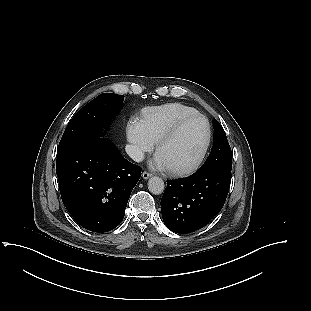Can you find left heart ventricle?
Wrapping results in <instances>:
<instances>
[{
    "mask_svg": "<svg viewBox=\"0 0 311 311\" xmlns=\"http://www.w3.org/2000/svg\"><path fill=\"white\" fill-rule=\"evenodd\" d=\"M205 139V123L196 117L186 122L171 140L164 143L158 154L169 168L185 166L198 156Z\"/></svg>",
    "mask_w": 311,
    "mask_h": 311,
    "instance_id": "obj_1",
    "label": "left heart ventricle"
}]
</instances>
